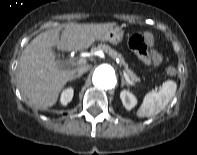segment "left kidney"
Instances as JSON below:
<instances>
[{
    "label": "left kidney",
    "instance_id": "5707ae66",
    "mask_svg": "<svg viewBox=\"0 0 197 155\" xmlns=\"http://www.w3.org/2000/svg\"><path fill=\"white\" fill-rule=\"evenodd\" d=\"M120 98H121L123 106L127 110H131L137 104L136 97L128 90H122L120 93Z\"/></svg>",
    "mask_w": 197,
    "mask_h": 155
}]
</instances>
